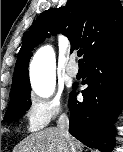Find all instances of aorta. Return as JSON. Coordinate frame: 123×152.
Returning a JSON list of instances; mask_svg holds the SVG:
<instances>
[{
    "instance_id": "aorta-1",
    "label": "aorta",
    "mask_w": 123,
    "mask_h": 152,
    "mask_svg": "<svg viewBox=\"0 0 123 152\" xmlns=\"http://www.w3.org/2000/svg\"><path fill=\"white\" fill-rule=\"evenodd\" d=\"M32 88L41 98L50 97L55 89V53L51 46H42L30 65Z\"/></svg>"
}]
</instances>
